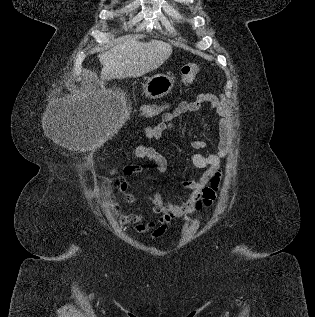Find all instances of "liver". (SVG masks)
Segmentation results:
<instances>
[{"label":"liver","instance_id":"liver-1","mask_svg":"<svg viewBox=\"0 0 315 317\" xmlns=\"http://www.w3.org/2000/svg\"><path fill=\"white\" fill-rule=\"evenodd\" d=\"M171 54L172 46L169 43L127 39L98 55L102 65L101 79L109 81L141 77L159 68ZM109 110L111 115L113 108L109 107Z\"/></svg>","mask_w":315,"mask_h":317}]
</instances>
